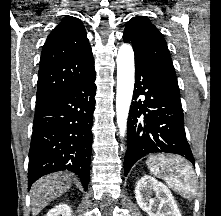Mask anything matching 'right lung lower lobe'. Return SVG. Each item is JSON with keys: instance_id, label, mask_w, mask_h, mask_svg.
I'll use <instances>...</instances> for the list:
<instances>
[{"instance_id": "1", "label": "right lung lower lobe", "mask_w": 221, "mask_h": 216, "mask_svg": "<svg viewBox=\"0 0 221 216\" xmlns=\"http://www.w3.org/2000/svg\"><path fill=\"white\" fill-rule=\"evenodd\" d=\"M95 74L36 108L29 151L28 189L40 177L70 170L85 190L90 177Z\"/></svg>"}]
</instances>
